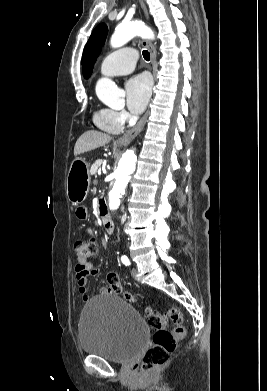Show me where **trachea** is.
<instances>
[{
  "mask_svg": "<svg viewBox=\"0 0 267 391\" xmlns=\"http://www.w3.org/2000/svg\"><path fill=\"white\" fill-rule=\"evenodd\" d=\"M142 54H143L144 59H145L146 61H149V59H150V53H149L147 50H143Z\"/></svg>",
  "mask_w": 267,
  "mask_h": 391,
  "instance_id": "3493384b",
  "label": "trachea"
}]
</instances>
